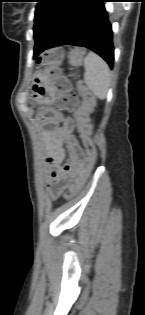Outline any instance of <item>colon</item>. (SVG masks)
<instances>
[{
  "label": "colon",
  "mask_w": 145,
  "mask_h": 315,
  "mask_svg": "<svg viewBox=\"0 0 145 315\" xmlns=\"http://www.w3.org/2000/svg\"><path fill=\"white\" fill-rule=\"evenodd\" d=\"M83 56V51L73 50L70 55V64L74 67L79 66L83 60ZM62 59L63 51L61 49H52L40 56L39 63L43 69L48 70L54 76L56 88L55 103L57 108L60 110L75 111L78 132L87 153L88 166L86 174L71 186L70 194L73 195L84 184L97 160V149L91 137V125L89 121V114L95 106V99L90 92L81 89V101L79 100V96L72 90L68 80L60 74Z\"/></svg>",
  "instance_id": "colon-1"
}]
</instances>
